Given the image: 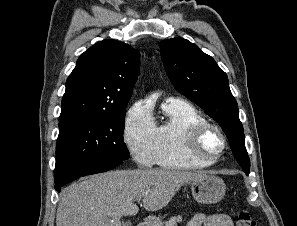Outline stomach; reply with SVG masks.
Returning a JSON list of instances; mask_svg holds the SVG:
<instances>
[{
	"label": "stomach",
	"mask_w": 297,
	"mask_h": 226,
	"mask_svg": "<svg viewBox=\"0 0 297 226\" xmlns=\"http://www.w3.org/2000/svg\"><path fill=\"white\" fill-rule=\"evenodd\" d=\"M225 190L224 181L220 177L213 175H206L191 182L192 195L198 203L202 204L219 202L224 197ZM148 226H162V221L158 218H151Z\"/></svg>",
	"instance_id": "stomach-1"
}]
</instances>
